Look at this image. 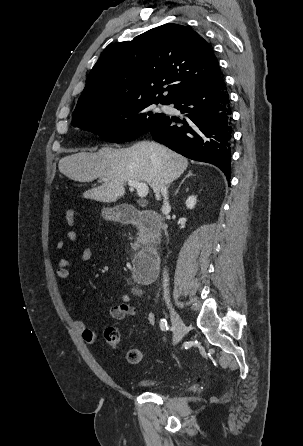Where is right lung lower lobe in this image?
Instances as JSON below:
<instances>
[{
	"mask_svg": "<svg viewBox=\"0 0 303 446\" xmlns=\"http://www.w3.org/2000/svg\"><path fill=\"white\" fill-rule=\"evenodd\" d=\"M172 103L185 118L164 115L148 133L187 158L217 166L229 181L232 112L224 79L192 89Z\"/></svg>",
	"mask_w": 303,
	"mask_h": 446,
	"instance_id": "right-lung-lower-lobe-1",
	"label": "right lung lower lobe"
}]
</instances>
